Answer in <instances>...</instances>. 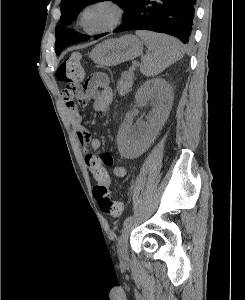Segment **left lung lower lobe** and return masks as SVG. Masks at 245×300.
Returning a JSON list of instances; mask_svg holds the SVG:
<instances>
[{"label":"left lung lower lobe","mask_w":245,"mask_h":300,"mask_svg":"<svg viewBox=\"0 0 245 300\" xmlns=\"http://www.w3.org/2000/svg\"><path fill=\"white\" fill-rule=\"evenodd\" d=\"M196 0H134L132 13L113 32L151 30L191 41ZM103 34L96 36L100 38Z\"/></svg>","instance_id":"0a47b994"}]
</instances>
